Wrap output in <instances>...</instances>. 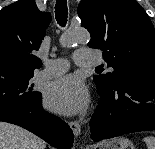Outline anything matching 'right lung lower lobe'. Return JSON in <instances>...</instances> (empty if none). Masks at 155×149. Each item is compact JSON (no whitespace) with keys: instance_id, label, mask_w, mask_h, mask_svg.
I'll return each instance as SVG.
<instances>
[{"instance_id":"98d812e1","label":"right lung lower lobe","mask_w":155,"mask_h":149,"mask_svg":"<svg viewBox=\"0 0 155 149\" xmlns=\"http://www.w3.org/2000/svg\"><path fill=\"white\" fill-rule=\"evenodd\" d=\"M0 121L21 126L56 148L68 149L74 141L68 124L43 109L42 98L27 110L0 108Z\"/></svg>"}]
</instances>
